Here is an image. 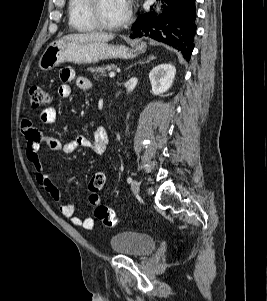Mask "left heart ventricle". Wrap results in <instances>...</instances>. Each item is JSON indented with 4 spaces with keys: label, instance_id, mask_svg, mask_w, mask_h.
Returning a JSON list of instances; mask_svg holds the SVG:
<instances>
[{
    "label": "left heart ventricle",
    "instance_id": "left-heart-ventricle-1",
    "mask_svg": "<svg viewBox=\"0 0 267 301\" xmlns=\"http://www.w3.org/2000/svg\"><path fill=\"white\" fill-rule=\"evenodd\" d=\"M126 12V0H102L101 2L100 15L109 24L121 21L125 17Z\"/></svg>",
    "mask_w": 267,
    "mask_h": 301
}]
</instances>
